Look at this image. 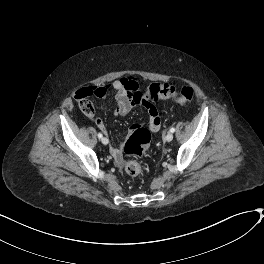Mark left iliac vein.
Instances as JSON below:
<instances>
[{
    "label": "left iliac vein",
    "mask_w": 264,
    "mask_h": 264,
    "mask_svg": "<svg viewBox=\"0 0 264 264\" xmlns=\"http://www.w3.org/2000/svg\"><path fill=\"white\" fill-rule=\"evenodd\" d=\"M165 140L167 142H170L173 140V134L171 132H168L167 135L165 136Z\"/></svg>",
    "instance_id": "obj_1"
}]
</instances>
